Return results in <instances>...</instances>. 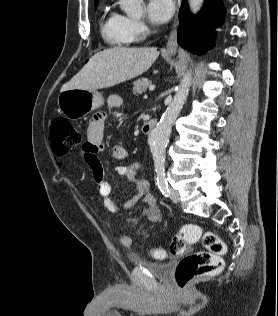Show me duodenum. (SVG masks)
Instances as JSON below:
<instances>
[{
	"label": "duodenum",
	"instance_id": "1",
	"mask_svg": "<svg viewBox=\"0 0 278 316\" xmlns=\"http://www.w3.org/2000/svg\"><path fill=\"white\" fill-rule=\"evenodd\" d=\"M156 126V120L149 119L142 125V132L144 134H150Z\"/></svg>",
	"mask_w": 278,
	"mask_h": 316
}]
</instances>
